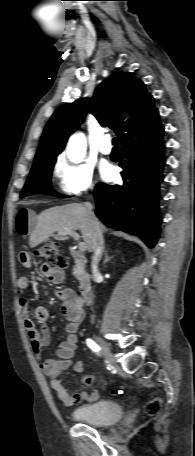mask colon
I'll list each match as a JSON object with an SVG mask.
<instances>
[{"instance_id":"colon-1","label":"colon","mask_w":195,"mask_h":456,"mask_svg":"<svg viewBox=\"0 0 195 456\" xmlns=\"http://www.w3.org/2000/svg\"><path fill=\"white\" fill-rule=\"evenodd\" d=\"M36 254L44 259L46 263L52 267L65 266V260L61 254L60 248L55 242H48L36 251ZM161 407L159 398L149 401L145 406V412L148 415H156Z\"/></svg>"}]
</instances>
